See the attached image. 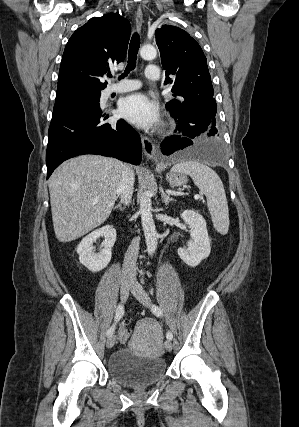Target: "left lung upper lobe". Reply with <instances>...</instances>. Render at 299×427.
I'll use <instances>...</instances> for the list:
<instances>
[{"label":"left lung upper lobe","instance_id":"1","mask_svg":"<svg viewBox=\"0 0 299 427\" xmlns=\"http://www.w3.org/2000/svg\"><path fill=\"white\" fill-rule=\"evenodd\" d=\"M155 35L161 62L166 70L165 84H172L173 96L179 97L178 100L168 102L167 109L176 113L181 105L209 106L214 126L219 130L211 77L199 44L186 31L175 26L163 25L155 31ZM169 75H173V79Z\"/></svg>","mask_w":299,"mask_h":427}]
</instances>
